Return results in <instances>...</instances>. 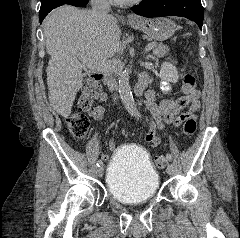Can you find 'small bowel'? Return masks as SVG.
<instances>
[{"label":"small bowel","mask_w":240,"mask_h":238,"mask_svg":"<svg viewBox=\"0 0 240 238\" xmlns=\"http://www.w3.org/2000/svg\"><path fill=\"white\" fill-rule=\"evenodd\" d=\"M199 90H194L191 94L181 96L178 98L163 99L156 102L155 93L149 90L146 93L145 106L150 114V132L146 135V142L150 146H157L160 143V138L156 131L163 129L166 124H172L175 127L180 126L187 118H195V113L200 108ZM108 96L105 93L100 94L99 101H107ZM89 114L94 119L99 120L104 116L105 109L101 105H95L89 109ZM108 145L111 146V151H116L117 147L114 146V141H109ZM102 162H109L108 154H101Z\"/></svg>","instance_id":"small-bowel-1"}]
</instances>
